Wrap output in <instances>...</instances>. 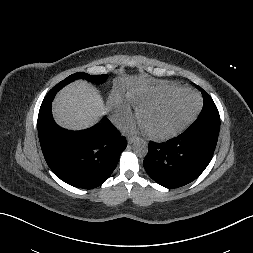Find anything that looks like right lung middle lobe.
<instances>
[{
	"mask_svg": "<svg viewBox=\"0 0 253 253\" xmlns=\"http://www.w3.org/2000/svg\"><path fill=\"white\" fill-rule=\"evenodd\" d=\"M78 78L86 79L87 81H90V82H93V83H96V84H101V83H104L106 81V79L108 78V75H106V74H104V75H89L87 73L78 72V73L70 75L69 77H67L66 79H64L60 83H58L50 91H56L57 92L62 87H64L66 84H68L71 81H73L75 79H78Z\"/></svg>",
	"mask_w": 253,
	"mask_h": 253,
	"instance_id": "dd1d6c3e",
	"label": "right lung middle lobe"
}]
</instances>
